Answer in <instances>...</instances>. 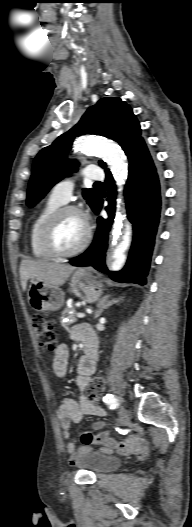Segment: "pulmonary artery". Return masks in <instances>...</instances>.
<instances>
[{
  "label": "pulmonary artery",
  "instance_id": "1",
  "mask_svg": "<svg viewBox=\"0 0 192 527\" xmlns=\"http://www.w3.org/2000/svg\"><path fill=\"white\" fill-rule=\"evenodd\" d=\"M83 175L91 180H102L104 173L101 168L97 166H87L83 170ZM75 186V181L72 178L65 179L57 183L51 190L50 197L62 204L68 202L72 196V191Z\"/></svg>",
  "mask_w": 192,
  "mask_h": 527
}]
</instances>
